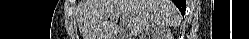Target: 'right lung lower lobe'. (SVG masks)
<instances>
[{"label": "right lung lower lobe", "mask_w": 249, "mask_h": 39, "mask_svg": "<svg viewBox=\"0 0 249 39\" xmlns=\"http://www.w3.org/2000/svg\"><path fill=\"white\" fill-rule=\"evenodd\" d=\"M184 16L186 10V0H172Z\"/></svg>", "instance_id": "98d812e1"}]
</instances>
